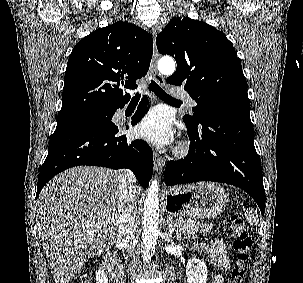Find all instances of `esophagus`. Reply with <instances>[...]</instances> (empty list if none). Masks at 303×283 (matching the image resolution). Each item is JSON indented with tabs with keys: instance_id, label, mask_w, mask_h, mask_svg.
Listing matches in <instances>:
<instances>
[{
	"instance_id": "34e87169",
	"label": "esophagus",
	"mask_w": 303,
	"mask_h": 283,
	"mask_svg": "<svg viewBox=\"0 0 303 283\" xmlns=\"http://www.w3.org/2000/svg\"><path fill=\"white\" fill-rule=\"evenodd\" d=\"M153 58L151 62V73L155 81L159 84H164L162 75L157 70L158 51L156 47V30H153ZM165 166V159L160 156L157 152H154V168L157 172H161Z\"/></svg>"
}]
</instances>
